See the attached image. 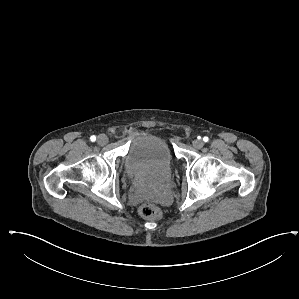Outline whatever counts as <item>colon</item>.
<instances>
[{
	"label": "colon",
	"instance_id": "obj_1",
	"mask_svg": "<svg viewBox=\"0 0 299 299\" xmlns=\"http://www.w3.org/2000/svg\"><path fill=\"white\" fill-rule=\"evenodd\" d=\"M138 212L142 218L147 220H158L162 217V211L157 206L149 202L141 204Z\"/></svg>",
	"mask_w": 299,
	"mask_h": 299
}]
</instances>
